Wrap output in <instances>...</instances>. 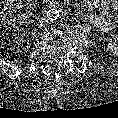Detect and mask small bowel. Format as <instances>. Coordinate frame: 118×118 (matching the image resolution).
Segmentation results:
<instances>
[{"mask_svg": "<svg viewBox=\"0 0 118 118\" xmlns=\"http://www.w3.org/2000/svg\"><path fill=\"white\" fill-rule=\"evenodd\" d=\"M112 5L117 8L118 0H111ZM110 3L107 0H91L84 4V9L90 23L100 29L101 31H108L112 27V22L106 17L109 11ZM95 10H99L97 13ZM118 17V14H116ZM118 44V32L113 36L110 41V46L115 47Z\"/></svg>", "mask_w": 118, "mask_h": 118, "instance_id": "1", "label": "small bowel"}]
</instances>
